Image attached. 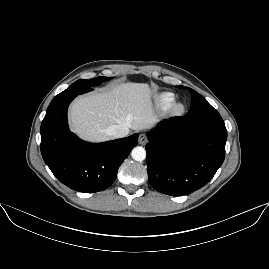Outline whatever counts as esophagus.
<instances>
[{"instance_id":"obj_1","label":"esophagus","mask_w":269,"mask_h":269,"mask_svg":"<svg viewBox=\"0 0 269 269\" xmlns=\"http://www.w3.org/2000/svg\"><path fill=\"white\" fill-rule=\"evenodd\" d=\"M147 141H148V139H147L146 134H140L139 140H138L139 144L145 145L147 143Z\"/></svg>"}]
</instances>
